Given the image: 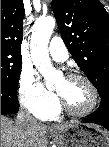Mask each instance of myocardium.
Segmentation results:
<instances>
[{
  "mask_svg": "<svg viewBox=\"0 0 109 147\" xmlns=\"http://www.w3.org/2000/svg\"><path fill=\"white\" fill-rule=\"evenodd\" d=\"M66 79L84 81L88 85V87L90 88V90L92 92L93 101H92V104L90 105V107L88 109L83 110V111H77V110H74L69 105L68 101L65 99L64 96H62L60 93L57 92L58 101H59V108L64 110L69 115L77 116V117H83V116H87V115L91 114L96 109V107L99 103L98 90L95 87V85L93 84V82L87 76L80 74V73L69 74L68 76H66Z\"/></svg>",
  "mask_w": 109,
  "mask_h": 147,
  "instance_id": "f54148a6",
  "label": "myocardium"
}]
</instances>
